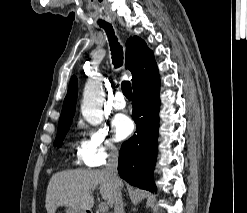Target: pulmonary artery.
Here are the masks:
<instances>
[{
    "mask_svg": "<svg viewBox=\"0 0 247 213\" xmlns=\"http://www.w3.org/2000/svg\"><path fill=\"white\" fill-rule=\"evenodd\" d=\"M112 107L117 110H122L126 107V101L121 92H117L112 101Z\"/></svg>",
    "mask_w": 247,
    "mask_h": 213,
    "instance_id": "obj_1",
    "label": "pulmonary artery"
}]
</instances>
